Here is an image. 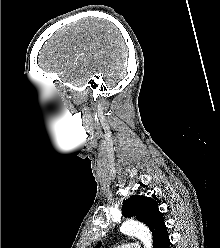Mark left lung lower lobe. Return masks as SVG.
I'll use <instances>...</instances> for the list:
<instances>
[{
  "instance_id": "left-lung-lower-lobe-1",
  "label": "left lung lower lobe",
  "mask_w": 220,
  "mask_h": 248,
  "mask_svg": "<svg viewBox=\"0 0 220 248\" xmlns=\"http://www.w3.org/2000/svg\"><path fill=\"white\" fill-rule=\"evenodd\" d=\"M169 245H170V240L167 233V228L164 227L160 235L154 242L153 248H169Z\"/></svg>"
}]
</instances>
